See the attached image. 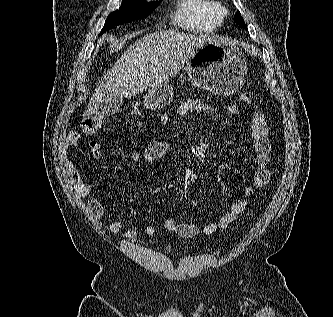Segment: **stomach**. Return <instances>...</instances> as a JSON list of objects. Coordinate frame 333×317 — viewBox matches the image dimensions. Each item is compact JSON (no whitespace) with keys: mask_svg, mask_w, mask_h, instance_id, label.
<instances>
[{"mask_svg":"<svg viewBox=\"0 0 333 317\" xmlns=\"http://www.w3.org/2000/svg\"><path fill=\"white\" fill-rule=\"evenodd\" d=\"M185 69L195 86L225 97L242 87L248 67L244 54L232 41L215 38L195 50ZM172 99V86L163 82L148 91L144 105L157 110L169 105Z\"/></svg>","mask_w":333,"mask_h":317,"instance_id":"stomach-1","label":"stomach"}]
</instances>
